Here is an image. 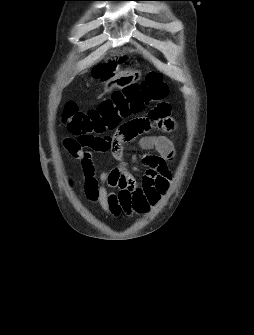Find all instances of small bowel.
<instances>
[{
	"label": "small bowel",
	"mask_w": 254,
	"mask_h": 335,
	"mask_svg": "<svg viewBox=\"0 0 254 335\" xmlns=\"http://www.w3.org/2000/svg\"><path fill=\"white\" fill-rule=\"evenodd\" d=\"M154 130H159L160 134H172L176 130L169 104H155L145 117L117 124L109 153L118 165L100 173L91 152L77 138L64 139L68 153L81 162L87 199L97 202L105 214L114 217L146 214L168 190L169 163L175 157L176 148L168 137L151 134ZM135 139L143 150L139 160L145 171L140 181L127 166L123 149V143H133Z\"/></svg>",
	"instance_id": "c3829d8e"
}]
</instances>
